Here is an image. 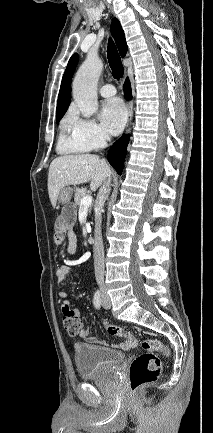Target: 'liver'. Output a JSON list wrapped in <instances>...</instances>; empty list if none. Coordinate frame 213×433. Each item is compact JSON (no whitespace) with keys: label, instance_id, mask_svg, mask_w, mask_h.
<instances>
[{"label":"liver","instance_id":"obj_1","mask_svg":"<svg viewBox=\"0 0 213 433\" xmlns=\"http://www.w3.org/2000/svg\"><path fill=\"white\" fill-rule=\"evenodd\" d=\"M110 174L106 160L97 155H64L55 158L48 173V193L52 206H56L59 192L64 187L90 181V189L96 191Z\"/></svg>","mask_w":213,"mask_h":433}]
</instances>
